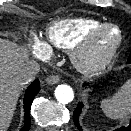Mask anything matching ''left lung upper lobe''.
<instances>
[{"label":"left lung upper lobe","mask_w":131,"mask_h":131,"mask_svg":"<svg viewBox=\"0 0 131 131\" xmlns=\"http://www.w3.org/2000/svg\"><path fill=\"white\" fill-rule=\"evenodd\" d=\"M128 63H131V55L128 58Z\"/></svg>","instance_id":"obj_1"}]
</instances>
